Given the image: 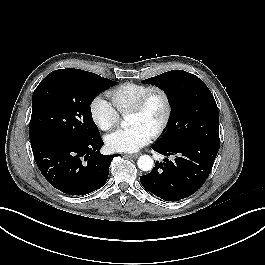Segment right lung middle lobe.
<instances>
[{
    "label": "right lung middle lobe",
    "mask_w": 265,
    "mask_h": 265,
    "mask_svg": "<svg viewBox=\"0 0 265 265\" xmlns=\"http://www.w3.org/2000/svg\"><path fill=\"white\" fill-rule=\"evenodd\" d=\"M115 84L80 69H59L48 74L32 97L31 146L100 136L90 105L99 93Z\"/></svg>",
    "instance_id": "1"
}]
</instances>
